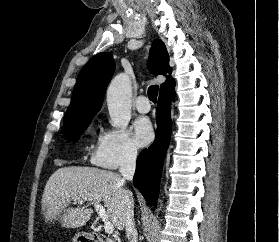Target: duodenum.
Listing matches in <instances>:
<instances>
[{"label": "duodenum", "mask_w": 279, "mask_h": 242, "mask_svg": "<svg viewBox=\"0 0 279 242\" xmlns=\"http://www.w3.org/2000/svg\"><path fill=\"white\" fill-rule=\"evenodd\" d=\"M95 242H102L101 241V238L98 236V237H95Z\"/></svg>", "instance_id": "obj_1"}]
</instances>
